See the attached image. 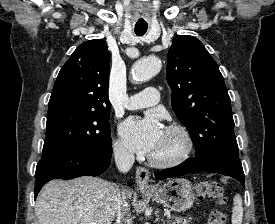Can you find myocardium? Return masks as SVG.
I'll return each mask as SVG.
<instances>
[{
	"instance_id": "obj_1",
	"label": "myocardium",
	"mask_w": 275,
	"mask_h": 224,
	"mask_svg": "<svg viewBox=\"0 0 275 224\" xmlns=\"http://www.w3.org/2000/svg\"><path fill=\"white\" fill-rule=\"evenodd\" d=\"M165 131L177 137L180 142V149L175 155L167 158H156L150 155L148 160L151 165L156 167H172L179 165L189 157L193 149L191 134L185 126L178 123H171L165 127Z\"/></svg>"
}]
</instances>
